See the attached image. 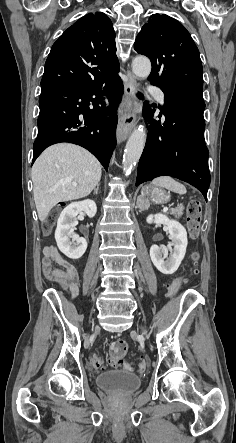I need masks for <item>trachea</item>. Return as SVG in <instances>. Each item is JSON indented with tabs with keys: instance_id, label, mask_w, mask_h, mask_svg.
Instances as JSON below:
<instances>
[{
	"instance_id": "obj_1",
	"label": "trachea",
	"mask_w": 236,
	"mask_h": 443,
	"mask_svg": "<svg viewBox=\"0 0 236 443\" xmlns=\"http://www.w3.org/2000/svg\"><path fill=\"white\" fill-rule=\"evenodd\" d=\"M138 97H139V98H143V95L140 94V93H138Z\"/></svg>"
}]
</instances>
